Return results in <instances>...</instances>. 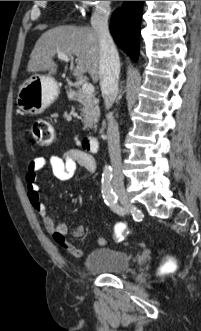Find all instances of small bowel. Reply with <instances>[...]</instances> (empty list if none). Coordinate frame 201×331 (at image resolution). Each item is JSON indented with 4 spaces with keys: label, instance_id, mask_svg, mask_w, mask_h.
Instances as JSON below:
<instances>
[{
    "label": "small bowel",
    "instance_id": "c3829d8e",
    "mask_svg": "<svg viewBox=\"0 0 201 331\" xmlns=\"http://www.w3.org/2000/svg\"><path fill=\"white\" fill-rule=\"evenodd\" d=\"M49 166L55 177L61 180L71 179L80 166L88 172H95L96 162L94 158L85 151L79 149H67L58 155L50 157L38 156L29 161L26 173L25 183L28 199L35 212L42 218L45 229L52 234L55 242L74 257H80L83 250L70 243L67 238V227L65 224H56L52 217L47 213L44 203L41 201L39 185L37 183L40 170ZM85 234L84 225L80 224L73 230L74 237H82ZM99 244H104L105 239L99 238Z\"/></svg>",
    "mask_w": 201,
    "mask_h": 331
}]
</instances>
